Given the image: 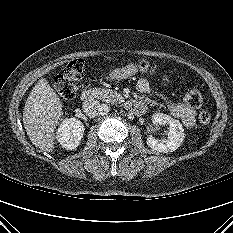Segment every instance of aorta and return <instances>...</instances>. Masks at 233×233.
<instances>
[{
    "mask_svg": "<svg viewBox=\"0 0 233 233\" xmlns=\"http://www.w3.org/2000/svg\"><path fill=\"white\" fill-rule=\"evenodd\" d=\"M110 111V108L106 104H102L101 115H107Z\"/></svg>",
    "mask_w": 233,
    "mask_h": 233,
    "instance_id": "obj_1",
    "label": "aorta"
}]
</instances>
